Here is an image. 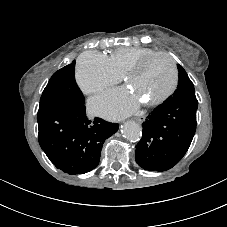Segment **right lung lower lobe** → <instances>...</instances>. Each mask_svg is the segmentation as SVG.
I'll list each match as a JSON object with an SVG mask.
<instances>
[{"instance_id": "98d812e1", "label": "right lung lower lobe", "mask_w": 227, "mask_h": 227, "mask_svg": "<svg viewBox=\"0 0 227 227\" xmlns=\"http://www.w3.org/2000/svg\"><path fill=\"white\" fill-rule=\"evenodd\" d=\"M39 144L49 160L68 174H83L97 167L104 141L118 124L86 117L84 101L49 104L39 108Z\"/></svg>"}]
</instances>
